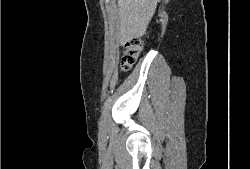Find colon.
I'll return each instance as SVG.
<instances>
[{"instance_id":"obj_1","label":"colon","mask_w":250,"mask_h":169,"mask_svg":"<svg viewBox=\"0 0 250 169\" xmlns=\"http://www.w3.org/2000/svg\"><path fill=\"white\" fill-rule=\"evenodd\" d=\"M148 38H141L134 36L129 38L121 51V69L123 71H128L137 61L139 55L143 51L144 43H148Z\"/></svg>"}]
</instances>
